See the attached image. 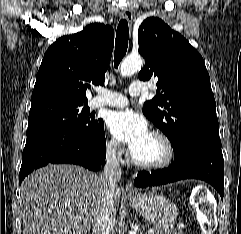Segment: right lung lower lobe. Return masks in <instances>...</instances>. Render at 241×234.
I'll list each match as a JSON object with an SVG mask.
<instances>
[{
	"label": "right lung lower lobe",
	"instance_id": "right-lung-lower-lobe-1",
	"mask_svg": "<svg viewBox=\"0 0 241 234\" xmlns=\"http://www.w3.org/2000/svg\"><path fill=\"white\" fill-rule=\"evenodd\" d=\"M105 157L104 122L89 134L64 127L27 131L19 181L33 170L52 163L76 164L96 171L104 165Z\"/></svg>",
	"mask_w": 241,
	"mask_h": 234
}]
</instances>
